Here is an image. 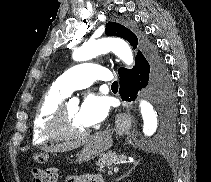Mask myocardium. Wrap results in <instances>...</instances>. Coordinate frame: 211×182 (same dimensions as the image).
Returning a JSON list of instances; mask_svg holds the SVG:
<instances>
[{
    "label": "myocardium",
    "mask_w": 211,
    "mask_h": 182,
    "mask_svg": "<svg viewBox=\"0 0 211 182\" xmlns=\"http://www.w3.org/2000/svg\"><path fill=\"white\" fill-rule=\"evenodd\" d=\"M65 106V103H61L54 111L46 128L47 135L57 140L84 139L89 134L88 129L76 133H72L67 130L65 120Z\"/></svg>",
    "instance_id": "myocardium-1"
}]
</instances>
